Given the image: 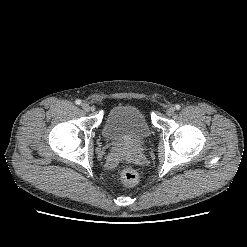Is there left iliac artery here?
<instances>
[{
  "label": "left iliac artery",
  "instance_id": "1",
  "mask_svg": "<svg viewBox=\"0 0 247 247\" xmlns=\"http://www.w3.org/2000/svg\"><path fill=\"white\" fill-rule=\"evenodd\" d=\"M175 109H176V110H179V109H180V105H178V104L175 105Z\"/></svg>",
  "mask_w": 247,
  "mask_h": 247
}]
</instances>
